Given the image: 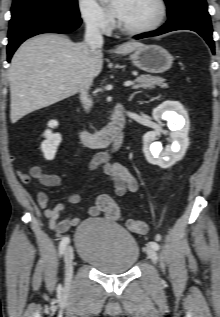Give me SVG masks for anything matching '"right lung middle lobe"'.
<instances>
[{
	"label": "right lung middle lobe",
	"instance_id": "right-lung-middle-lobe-1",
	"mask_svg": "<svg viewBox=\"0 0 220 317\" xmlns=\"http://www.w3.org/2000/svg\"><path fill=\"white\" fill-rule=\"evenodd\" d=\"M33 12H55L79 17L77 0H13L12 18Z\"/></svg>",
	"mask_w": 220,
	"mask_h": 317
}]
</instances>
